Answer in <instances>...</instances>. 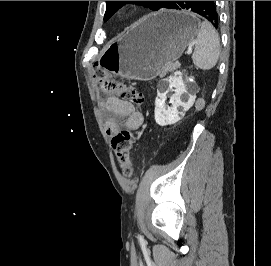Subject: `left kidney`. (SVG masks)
I'll list each match as a JSON object with an SVG mask.
<instances>
[{
  "mask_svg": "<svg viewBox=\"0 0 271 266\" xmlns=\"http://www.w3.org/2000/svg\"><path fill=\"white\" fill-rule=\"evenodd\" d=\"M169 89L174 88V94L170 98L171 107H165L167 99L166 92H158L155 99V121L160 126L172 125L178 122L188 111L195 97L188 92L187 85L184 83L181 72H175L169 77Z\"/></svg>",
  "mask_w": 271,
  "mask_h": 266,
  "instance_id": "5707ae66",
  "label": "left kidney"
}]
</instances>
